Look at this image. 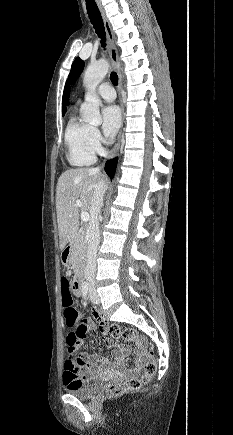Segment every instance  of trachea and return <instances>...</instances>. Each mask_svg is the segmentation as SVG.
<instances>
[{
    "mask_svg": "<svg viewBox=\"0 0 233 435\" xmlns=\"http://www.w3.org/2000/svg\"><path fill=\"white\" fill-rule=\"evenodd\" d=\"M86 1V9L87 14L89 16V19L93 25V28L98 35V37L101 39V45L103 48L106 47V33H105V27L103 24V20L100 14V11L97 7V4L94 0H85ZM110 80L111 82L117 86L118 85V75L116 72H112L110 74Z\"/></svg>",
    "mask_w": 233,
    "mask_h": 435,
    "instance_id": "3493384b",
    "label": "trachea"
}]
</instances>
